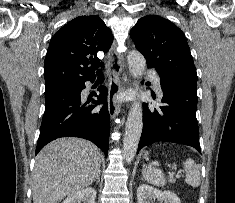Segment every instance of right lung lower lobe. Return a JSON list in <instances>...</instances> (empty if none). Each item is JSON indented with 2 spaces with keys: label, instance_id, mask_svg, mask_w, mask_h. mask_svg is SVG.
I'll use <instances>...</instances> for the list:
<instances>
[{
  "label": "right lung lower lobe",
  "instance_id": "right-lung-lower-lobe-1",
  "mask_svg": "<svg viewBox=\"0 0 235 203\" xmlns=\"http://www.w3.org/2000/svg\"><path fill=\"white\" fill-rule=\"evenodd\" d=\"M95 75L85 78L67 90L45 99V112L37 142L36 154L49 142L60 137H80L92 141L107 156L110 135V117L107 107V89L99 88L98 100L92 103L104 106L94 110L95 105L81 103L80 93L84 83L94 81Z\"/></svg>",
  "mask_w": 235,
  "mask_h": 203
}]
</instances>
